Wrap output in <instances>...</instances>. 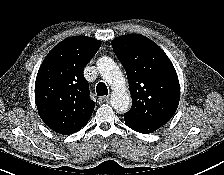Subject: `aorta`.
<instances>
[{
    "label": "aorta",
    "mask_w": 224,
    "mask_h": 175,
    "mask_svg": "<svg viewBox=\"0 0 224 175\" xmlns=\"http://www.w3.org/2000/svg\"><path fill=\"white\" fill-rule=\"evenodd\" d=\"M97 68L102 78L112 89L110 102L112 107L120 112H126L131 106V98L127 93L124 75L115 61L110 57H101Z\"/></svg>",
    "instance_id": "762f6f07"
}]
</instances>
